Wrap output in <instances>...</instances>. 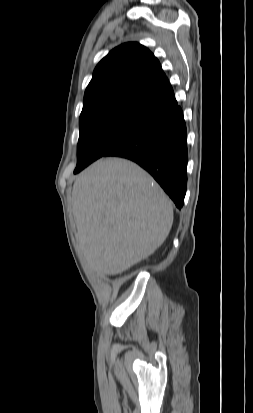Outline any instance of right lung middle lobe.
<instances>
[{
  "instance_id": "1",
  "label": "right lung middle lobe",
  "mask_w": 253,
  "mask_h": 413,
  "mask_svg": "<svg viewBox=\"0 0 253 413\" xmlns=\"http://www.w3.org/2000/svg\"><path fill=\"white\" fill-rule=\"evenodd\" d=\"M156 117L128 108H110L80 117L77 166L74 173L150 126Z\"/></svg>"
}]
</instances>
